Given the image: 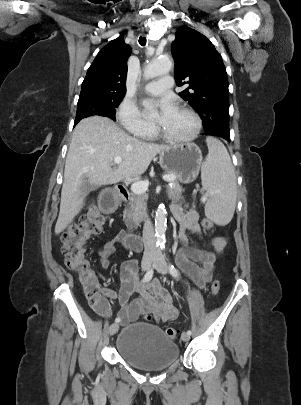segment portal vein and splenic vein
<instances>
[{
    "mask_svg": "<svg viewBox=\"0 0 301 405\" xmlns=\"http://www.w3.org/2000/svg\"><path fill=\"white\" fill-rule=\"evenodd\" d=\"M121 162H122V158H121V157L116 156V157L114 158V163H115V164H120ZM175 179H176V178H175V176H173V175H165V176H163V180H164V181H167V182H171V181H173V180H175ZM148 187H149V181H148V180L137 181V182H134V183L131 185V190H132V192H134V193H136V194H142V193H144V192H146V191L148 190ZM206 199H207V195L204 194L203 197H202V201L205 202Z\"/></svg>",
    "mask_w": 301,
    "mask_h": 405,
    "instance_id": "18ae733b",
    "label": "portal vein and splenic vein"
}]
</instances>
